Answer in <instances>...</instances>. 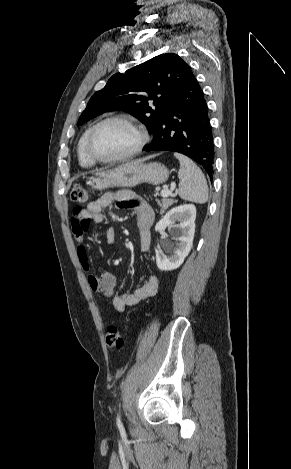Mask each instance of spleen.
<instances>
[{"mask_svg":"<svg viewBox=\"0 0 291 469\" xmlns=\"http://www.w3.org/2000/svg\"><path fill=\"white\" fill-rule=\"evenodd\" d=\"M180 162L178 172L179 196L191 202L203 204L208 200V186L200 168L188 157L174 153Z\"/></svg>","mask_w":291,"mask_h":469,"instance_id":"obj_1","label":"spleen"}]
</instances>
